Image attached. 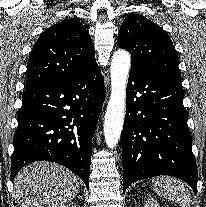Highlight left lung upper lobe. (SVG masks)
Instances as JSON below:
<instances>
[{"label":"left lung upper lobe","instance_id":"1","mask_svg":"<svg viewBox=\"0 0 206 207\" xmlns=\"http://www.w3.org/2000/svg\"><path fill=\"white\" fill-rule=\"evenodd\" d=\"M117 44L130 52L131 69L181 82L173 43L151 20L137 14L128 15L120 28Z\"/></svg>","mask_w":206,"mask_h":207}]
</instances>
